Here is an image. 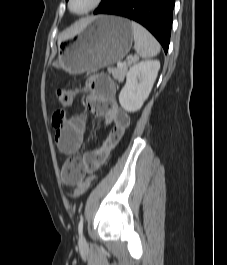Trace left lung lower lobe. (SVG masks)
<instances>
[{
    "instance_id": "left-lung-lower-lobe-1",
    "label": "left lung lower lobe",
    "mask_w": 227,
    "mask_h": 265,
    "mask_svg": "<svg viewBox=\"0 0 227 265\" xmlns=\"http://www.w3.org/2000/svg\"><path fill=\"white\" fill-rule=\"evenodd\" d=\"M175 0H108L94 14H113L146 27L168 51Z\"/></svg>"
}]
</instances>
